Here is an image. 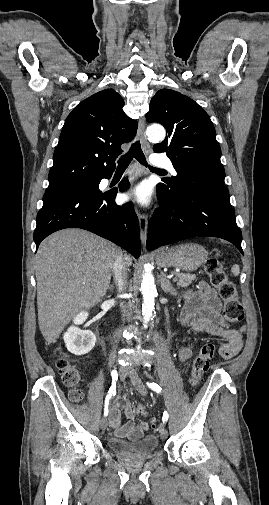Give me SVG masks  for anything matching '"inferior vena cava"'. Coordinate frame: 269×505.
Returning <instances> with one entry per match:
<instances>
[{
  "mask_svg": "<svg viewBox=\"0 0 269 505\" xmlns=\"http://www.w3.org/2000/svg\"><path fill=\"white\" fill-rule=\"evenodd\" d=\"M127 261L125 257L120 253L114 262L113 266V272H114V278H115V283L116 286L119 290V292L124 290V287L126 285V278H127ZM128 311L126 313L127 320L130 319L132 315V310H131V304L129 303L128 306Z\"/></svg>",
  "mask_w": 269,
  "mask_h": 505,
  "instance_id": "inferior-vena-cava-1",
  "label": "inferior vena cava"
}]
</instances>
